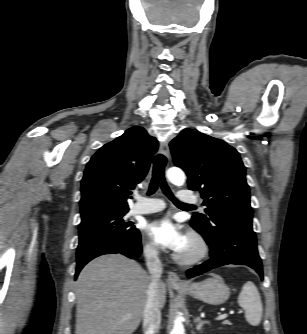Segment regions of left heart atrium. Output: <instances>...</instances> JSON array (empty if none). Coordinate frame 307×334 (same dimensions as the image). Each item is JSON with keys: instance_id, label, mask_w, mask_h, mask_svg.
Masks as SVG:
<instances>
[{"instance_id": "obj_1", "label": "left heart atrium", "mask_w": 307, "mask_h": 334, "mask_svg": "<svg viewBox=\"0 0 307 334\" xmlns=\"http://www.w3.org/2000/svg\"><path fill=\"white\" fill-rule=\"evenodd\" d=\"M148 237L158 246L179 252L187 237L170 216H163L149 222L145 227Z\"/></svg>"}]
</instances>
